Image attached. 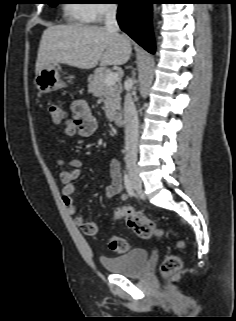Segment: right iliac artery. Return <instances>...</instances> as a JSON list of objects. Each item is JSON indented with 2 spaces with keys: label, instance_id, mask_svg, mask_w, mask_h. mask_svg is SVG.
Wrapping results in <instances>:
<instances>
[{
  "label": "right iliac artery",
  "instance_id": "1",
  "mask_svg": "<svg viewBox=\"0 0 236 321\" xmlns=\"http://www.w3.org/2000/svg\"><path fill=\"white\" fill-rule=\"evenodd\" d=\"M124 184H125V188H126L128 194L130 196H133L134 195V191H133L131 178L127 173L124 174Z\"/></svg>",
  "mask_w": 236,
  "mask_h": 321
}]
</instances>
